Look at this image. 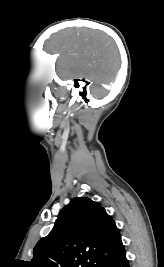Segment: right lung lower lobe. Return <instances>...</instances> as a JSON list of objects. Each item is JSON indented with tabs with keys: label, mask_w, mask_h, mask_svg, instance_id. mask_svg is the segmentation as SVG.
<instances>
[{
	"label": "right lung lower lobe",
	"mask_w": 164,
	"mask_h": 267,
	"mask_svg": "<svg viewBox=\"0 0 164 267\" xmlns=\"http://www.w3.org/2000/svg\"><path fill=\"white\" fill-rule=\"evenodd\" d=\"M95 267H129L124 247L115 253L107 255Z\"/></svg>",
	"instance_id": "right-lung-lower-lobe-1"
}]
</instances>
